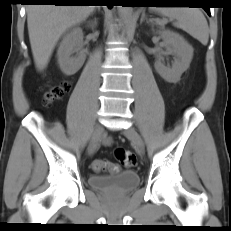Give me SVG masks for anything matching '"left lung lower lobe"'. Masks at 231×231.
I'll return each instance as SVG.
<instances>
[{"mask_svg":"<svg viewBox=\"0 0 231 231\" xmlns=\"http://www.w3.org/2000/svg\"><path fill=\"white\" fill-rule=\"evenodd\" d=\"M134 1L135 5L133 6H147L148 4H154V3H159L157 2V0H132ZM205 9V11L208 13V15H210V8L209 7H203Z\"/></svg>","mask_w":231,"mask_h":231,"instance_id":"0a47b994","label":"left lung lower lobe"}]
</instances>
